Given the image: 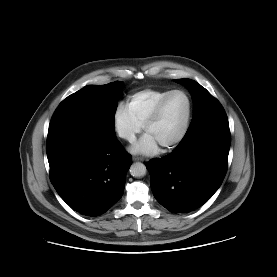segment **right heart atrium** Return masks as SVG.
<instances>
[{
    "instance_id": "1",
    "label": "right heart atrium",
    "mask_w": 277,
    "mask_h": 277,
    "mask_svg": "<svg viewBox=\"0 0 277 277\" xmlns=\"http://www.w3.org/2000/svg\"><path fill=\"white\" fill-rule=\"evenodd\" d=\"M113 126L117 135L127 142H133L143 128V126L132 117L127 106L122 103L119 104L114 111Z\"/></svg>"
}]
</instances>
